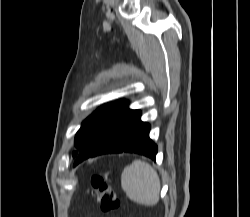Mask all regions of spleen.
Masks as SVG:
<instances>
[{
	"label": "spleen",
	"instance_id": "spleen-1",
	"mask_svg": "<svg viewBox=\"0 0 250 217\" xmlns=\"http://www.w3.org/2000/svg\"><path fill=\"white\" fill-rule=\"evenodd\" d=\"M121 186L126 196L137 204L153 206L159 201V176L148 163L141 160H134L124 168Z\"/></svg>",
	"mask_w": 250,
	"mask_h": 217
}]
</instances>
